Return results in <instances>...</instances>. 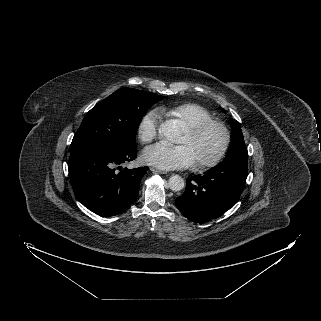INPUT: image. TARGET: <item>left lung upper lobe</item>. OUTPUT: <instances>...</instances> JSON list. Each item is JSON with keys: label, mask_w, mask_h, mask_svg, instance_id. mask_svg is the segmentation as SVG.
Segmentation results:
<instances>
[{"label": "left lung upper lobe", "mask_w": 321, "mask_h": 321, "mask_svg": "<svg viewBox=\"0 0 321 321\" xmlns=\"http://www.w3.org/2000/svg\"><path fill=\"white\" fill-rule=\"evenodd\" d=\"M224 111V110H223ZM233 139L230 143L227 155L224 160H230L234 158H245L248 157L247 148L244 142L243 133L240 125L237 121H233Z\"/></svg>", "instance_id": "obj_1"}]
</instances>
